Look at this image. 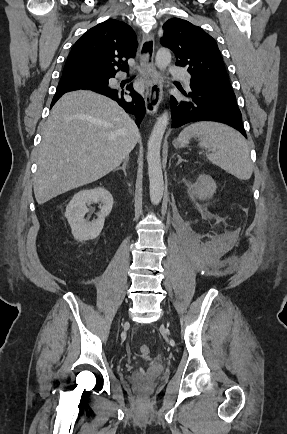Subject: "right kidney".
I'll use <instances>...</instances> for the list:
<instances>
[{"instance_id": "1", "label": "right kidney", "mask_w": 287, "mask_h": 434, "mask_svg": "<svg viewBox=\"0 0 287 434\" xmlns=\"http://www.w3.org/2000/svg\"><path fill=\"white\" fill-rule=\"evenodd\" d=\"M102 203L98 218L93 221L86 220L85 214L89 211L87 204ZM113 197L105 188H94L82 190L76 193L66 207L65 217L70 224L72 235L77 241L95 239L101 233L105 217L108 216L113 207Z\"/></svg>"}]
</instances>
